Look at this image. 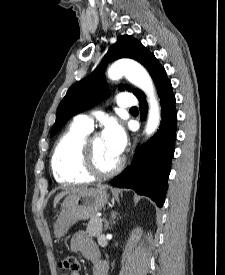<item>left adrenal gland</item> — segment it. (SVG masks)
Returning <instances> with one entry per match:
<instances>
[{"label":"left adrenal gland","instance_id":"1","mask_svg":"<svg viewBox=\"0 0 225 275\" xmlns=\"http://www.w3.org/2000/svg\"><path fill=\"white\" fill-rule=\"evenodd\" d=\"M104 221H105V228L107 229L109 226V223L107 222V220H104Z\"/></svg>","mask_w":225,"mask_h":275}]
</instances>
